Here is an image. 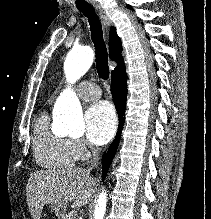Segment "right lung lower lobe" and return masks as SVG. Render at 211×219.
<instances>
[{
    "instance_id": "obj_1",
    "label": "right lung lower lobe",
    "mask_w": 211,
    "mask_h": 219,
    "mask_svg": "<svg viewBox=\"0 0 211 219\" xmlns=\"http://www.w3.org/2000/svg\"><path fill=\"white\" fill-rule=\"evenodd\" d=\"M111 93L119 117V126L116 134V138L110 145L108 149V153L104 155L103 178L106 177L109 165L111 164V161L116 153L121 136V131L125 121L124 112H125L126 97H127V74H126L125 66L111 74Z\"/></svg>"
}]
</instances>
